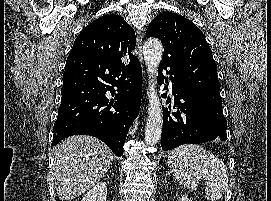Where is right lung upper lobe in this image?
I'll list each match as a JSON object with an SVG mask.
<instances>
[{
  "label": "right lung upper lobe",
  "instance_id": "right-lung-upper-lobe-1",
  "mask_svg": "<svg viewBox=\"0 0 271 201\" xmlns=\"http://www.w3.org/2000/svg\"><path fill=\"white\" fill-rule=\"evenodd\" d=\"M135 45L133 28L118 15H105L81 31L69 55L86 54L100 59L131 63L137 60L131 54Z\"/></svg>",
  "mask_w": 271,
  "mask_h": 201
}]
</instances>
